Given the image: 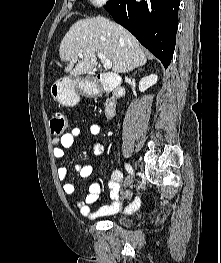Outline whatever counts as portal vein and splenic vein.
<instances>
[{
  "label": "portal vein and splenic vein",
  "instance_id": "1",
  "mask_svg": "<svg viewBox=\"0 0 221 263\" xmlns=\"http://www.w3.org/2000/svg\"><path fill=\"white\" fill-rule=\"evenodd\" d=\"M82 55H83V51L80 50L78 53V56L82 57ZM97 55H98L99 59H101V61L103 62V67L105 69H110L112 67V62L110 60H108L102 52H98Z\"/></svg>",
  "mask_w": 221,
  "mask_h": 263
}]
</instances>
